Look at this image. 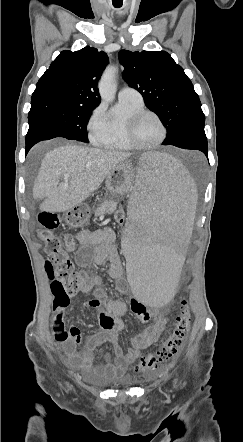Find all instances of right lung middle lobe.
I'll return each instance as SVG.
<instances>
[{"label":"right lung middle lobe","instance_id":"1","mask_svg":"<svg viewBox=\"0 0 243 442\" xmlns=\"http://www.w3.org/2000/svg\"><path fill=\"white\" fill-rule=\"evenodd\" d=\"M94 108L61 96L32 97L28 121L29 125L41 123L62 130L67 139L88 143L86 127Z\"/></svg>","mask_w":243,"mask_h":442}]
</instances>
